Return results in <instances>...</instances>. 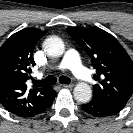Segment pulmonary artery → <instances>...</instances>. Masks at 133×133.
<instances>
[{
	"label": "pulmonary artery",
	"mask_w": 133,
	"mask_h": 133,
	"mask_svg": "<svg viewBox=\"0 0 133 133\" xmlns=\"http://www.w3.org/2000/svg\"><path fill=\"white\" fill-rule=\"evenodd\" d=\"M66 68L70 69L80 80L92 82V77L89 71L83 66L78 52L74 49H69L57 66V69Z\"/></svg>",
	"instance_id": "e3ab8cb5"
}]
</instances>
